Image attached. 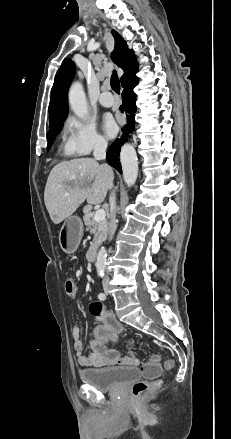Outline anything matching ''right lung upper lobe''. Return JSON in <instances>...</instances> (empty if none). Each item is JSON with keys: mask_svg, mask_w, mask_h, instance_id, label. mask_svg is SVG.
Instances as JSON below:
<instances>
[{"mask_svg": "<svg viewBox=\"0 0 231 439\" xmlns=\"http://www.w3.org/2000/svg\"><path fill=\"white\" fill-rule=\"evenodd\" d=\"M115 38V49L111 53L112 61L124 70L121 84L137 78L138 65L134 53L128 49L126 41L116 32L112 31ZM75 74V65L72 60L65 59L59 68L51 91L49 105L50 127L62 123L67 116V93L71 80Z\"/></svg>", "mask_w": 231, "mask_h": 439, "instance_id": "obj_1", "label": "right lung upper lobe"}]
</instances>
